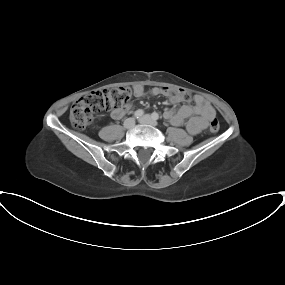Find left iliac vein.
Segmentation results:
<instances>
[{
    "instance_id": "obj_1",
    "label": "left iliac vein",
    "mask_w": 285,
    "mask_h": 285,
    "mask_svg": "<svg viewBox=\"0 0 285 285\" xmlns=\"http://www.w3.org/2000/svg\"><path fill=\"white\" fill-rule=\"evenodd\" d=\"M139 122L142 124H148L151 126H156L157 125V121L155 119H153L150 115H144L139 119Z\"/></svg>"
}]
</instances>
